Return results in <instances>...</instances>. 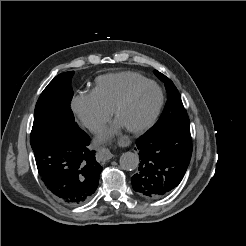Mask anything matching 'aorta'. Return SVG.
Listing matches in <instances>:
<instances>
[{
  "mask_svg": "<svg viewBox=\"0 0 246 246\" xmlns=\"http://www.w3.org/2000/svg\"><path fill=\"white\" fill-rule=\"evenodd\" d=\"M139 162V156L133 152H125L120 156V166L127 171L135 170Z\"/></svg>",
  "mask_w": 246,
  "mask_h": 246,
  "instance_id": "obj_1",
  "label": "aorta"
}]
</instances>
